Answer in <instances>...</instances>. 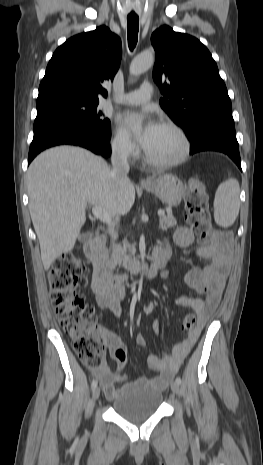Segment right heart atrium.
Listing matches in <instances>:
<instances>
[{"label":"right heart atrium","mask_w":263,"mask_h":465,"mask_svg":"<svg viewBox=\"0 0 263 465\" xmlns=\"http://www.w3.org/2000/svg\"><path fill=\"white\" fill-rule=\"evenodd\" d=\"M113 154L122 159H132L137 154V147L121 128H116L110 139Z\"/></svg>","instance_id":"right-heart-atrium-1"}]
</instances>
